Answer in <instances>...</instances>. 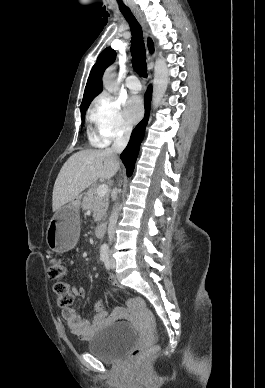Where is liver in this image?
Listing matches in <instances>:
<instances>
[{
    "label": "liver",
    "mask_w": 265,
    "mask_h": 388,
    "mask_svg": "<svg viewBox=\"0 0 265 388\" xmlns=\"http://www.w3.org/2000/svg\"><path fill=\"white\" fill-rule=\"evenodd\" d=\"M93 166L94 170H90ZM120 168L118 156L107 150H81L62 166L54 184L52 210L57 212L96 180H110Z\"/></svg>",
    "instance_id": "liver-1"
}]
</instances>
